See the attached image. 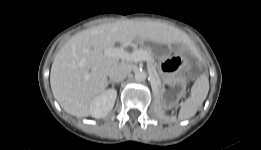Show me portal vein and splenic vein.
<instances>
[{
  "mask_svg": "<svg viewBox=\"0 0 261 150\" xmlns=\"http://www.w3.org/2000/svg\"><path fill=\"white\" fill-rule=\"evenodd\" d=\"M105 54L117 59H122L126 61L139 62V61H147L149 56L146 51L142 49L134 50L133 52H127L124 48H114L108 47L105 50ZM148 70L152 74V70L148 65Z\"/></svg>",
  "mask_w": 261,
  "mask_h": 150,
  "instance_id": "portal-vein-and-splenic-vein-1",
  "label": "portal vein and splenic vein"
}]
</instances>
